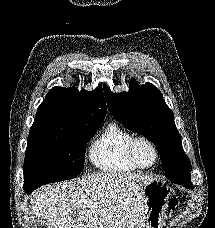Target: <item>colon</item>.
Here are the masks:
<instances>
[{
	"instance_id": "1",
	"label": "colon",
	"mask_w": 215,
	"mask_h": 228,
	"mask_svg": "<svg viewBox=\"0 0 215 228\" xmlns=\"http://www.w3.org/2000/svg\"><path fill=\"white\" fill-rule=\"evenodd\" d=\"M178 202V199L176 197H172L170 200H169V206H170V209H173L174 206L177 204Z\"/></svg>"
}]
</instances>
